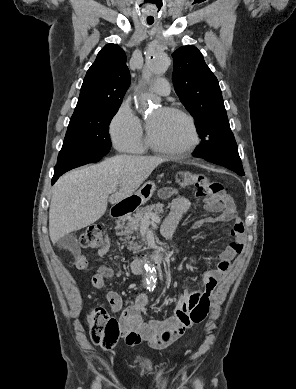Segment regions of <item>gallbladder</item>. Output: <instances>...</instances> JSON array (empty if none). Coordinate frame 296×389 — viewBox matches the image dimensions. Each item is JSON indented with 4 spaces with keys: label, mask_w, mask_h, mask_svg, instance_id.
<instances>
[{
    "label": "gallbladder",
    "mask_w": 296,
    "mask_h": 389,
    "mask_svg": "<svg viewBox=\"0 0 296 389\" xmlns=\"http://www.w3.org/2000/svg\"><path fill=\"white\" fill-rule=\"evenodd\" d=\"M58 246L61 249H66L71 251L74 255H79L81 253V249L78 243V240L75 234H67L58 240Z\"/></svg>",
    "instance_id": "bac80fb5"
}]
</instances>
